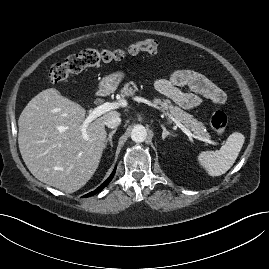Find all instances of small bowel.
<instances>
[{"label": "small bowel", "instance_id": "small-bowel-1", "mask_svg": "<svg viewBox=\"0 0 269 269\" xmlns=\"http://www.w3.org/2000/svg\"><path fill=\"white\" fill-rule=\"evenodd\" d=\"M154 86L159 93L184 109L198 107L203 99H208L218 105L226 102V94L222 89L191 69L176 70L170 78L156 80ZM183 86L188 87L190 92H183L180 89Z\"/></svg>", "mask_w": 269, "mask_h": 269}]
</instances>
